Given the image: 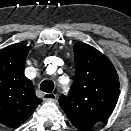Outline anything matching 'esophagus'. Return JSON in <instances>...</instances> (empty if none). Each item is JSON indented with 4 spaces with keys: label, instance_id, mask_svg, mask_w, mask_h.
Masks as SVG:
<instances>
[{
    "label": "esophagus",
    "instance_id": "34e87169",
    "mask_svg": "<svg viewBox=\"0 0 131 131\" xmlns=\"http://www.w3.org/2000/svg\"><path fill=\"white\" fill-rule=\"evenodd\" d=\"M56 98H57V96L54 93H44L43 94L44 101H55Z\"/></svg>",
    "mask_w": 131,
    "mask_h": 131
}]
</instances>
